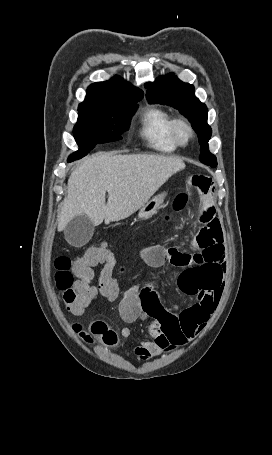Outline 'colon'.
Listing matches in <instances>:
<instances>
[{
  "instance_id": "colon-1",
  "label": "colon",
  "mask_w": 272,
  "mask_h": 455,
  "mask_svg": "<svg viewBox=\"0 0 272 455\" xmlns=\"http://www.w3.org/2000/svg\"><path fill=\"white\" fill-rule=\"evenodd\" d=\"M187 193L179 194L173 202V210L182 211L188 203ZM56 287L62 294L66 309L74 314H81L98 295L106 300H114L119 293V280L114 276L116 260L112 252L103 244L87 246L76 258L60 256L55 262ZM103 266V270L97 284L92 282L93 269ZM119 273L126 272L125 267L119 268ZM74 329L86 342L94 339L102 341L106 345L116 343V334L103 322H95L88 331H84L79 324Z\"/></svg>"
}]
</instances>
